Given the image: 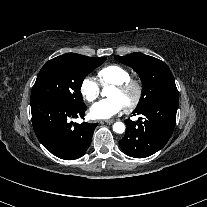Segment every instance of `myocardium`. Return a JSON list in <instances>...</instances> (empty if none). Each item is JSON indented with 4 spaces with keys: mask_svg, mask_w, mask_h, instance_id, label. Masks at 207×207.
Masks as SVG:
<instances>
[{
    "mask_svg": "<svg viewBox=\"0 0 207 207\" xmlns=\"http://www.w3.org/2000/svg\"><path fill=\"white\" fill-rule=\"evenodd\" d=\"M114 87L121 94H127L129 92H132L131 98L126 103V107L129 110H133L138 106L143 95V85L139 80L129 78L122 83L114 84Z\"/></svg>",
    "mask_w": 207,
    "mask_h": 207,
    "instance_id": "myocardium-1",
    "label": "myocardium"
}]
</instances>
